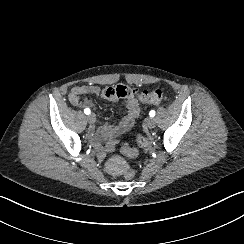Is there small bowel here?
Returning a JSON list of instances; mask_svg holds the SVG:
<instances>
[{
	"instance_id": "c3829d8e",
	"label": "small bowel",
	"mask_w": 244,
	"mask_h": 244,
	"mask_svg": "<svg viewBox=\"0 0 244 244\" xmlns=\"http://www.w3.org/2000/svg\"><path fill=\"white\" fill-rule=\"evenodd\" d=\"M84 94H93L98 97H103V93L100 87L95 85H78L72 88L68 95L69 103L75 107L89 108L93 104L90 100H83L81 97ZM127 112L125 116L115 125H104L97 134V140L102 142L110 140L109 143H114L112 140L119 135L129 131L133 126L135 120L140 114V107L138 101L129 96L125 101Z\"/></svg>"
}]
</instances>
